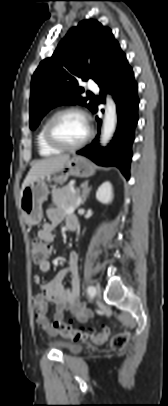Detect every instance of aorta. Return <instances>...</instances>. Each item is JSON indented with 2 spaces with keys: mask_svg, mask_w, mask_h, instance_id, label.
I'll return each instance as SVG.
<instances>
[{
  "mask_svg": "<svg viewBox=\"0 0 168 406\" xmlns=\"http://www.w3.org/2000/svg\"><path fill=\"white\" fill-rule=\"evenodd\" d=\"M117 123L116 105L113 99L108 96L106 99L105 117L101 135V145L105 146L112 137Z\"/></svg>",
  "mask_w": 168,
  "mask_h": 406,
  "instance_id": "762f6f07",
  "label": "aorta"
}]
</instances>
